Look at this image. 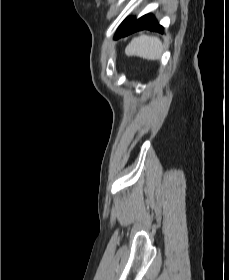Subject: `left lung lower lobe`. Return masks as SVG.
I'll return each mask as SVG.
<instances>
[{"label": "left lung lower lobe", "mask_w": 229, "mask_h": 280, "mask_svg": "<svg viewBox=\"0 0 229 280\" xmlns=\"http://www.w3.org/2000/svg\"><path fill=\"white\" fill-rule=\"evenodd\" d=\"M151 30V31H158L163 32V27L159 25L157 20L152 14H146L139 19L135 18H128L126 19L118 28L115 39L127 36L132 34L136 31L140 30Z\"/></svg>", "instance_id": "left-lung-lower-lobe-1"}]
</instances>
